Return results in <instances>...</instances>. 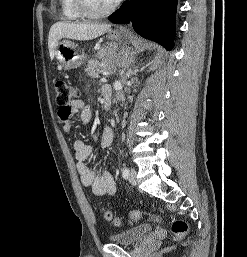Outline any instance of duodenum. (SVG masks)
I'll return each instance as SVG.
<instances>
[{
	"label": "duodenum",
	"instance_id": "duodenum-1",
	"mask_svg": "<svg viewBox=\"0 0 247 257\" xmlns=\"http://www.w3.org/2000/svg\"><path fill=\"white\" fill-rule=\"evenodd\" d=\"M102 96L104 101V109L109 111L112 106V89L110 85H104L102 87Z\"/></svg>",
	"mask_w": 247,
	"mask_h": 257
}]
</instances>
